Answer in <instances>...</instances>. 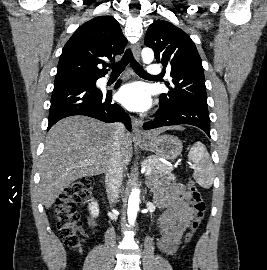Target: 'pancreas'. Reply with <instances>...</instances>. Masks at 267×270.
Listing matches in <instances>:
<instances>
[{
    "mask_svg": "<svg viewBox=\"0 0 267 270\" xmlns=\"http://www.w3.org/2000/svg\"><path fill=\"white\" fill-rule=\"evenodd\" d=\"M142 167L150 170V176L155 174L169 175L170 179H174L171 174L173 167L167 165L166 163L160 161L157 156H149L142 162Z\"/></svg>",
    "mask_w": 267,
    "mask_h": 270,
    "instance_id": "1",
    "label": "pancreas"
}]
</instances>
